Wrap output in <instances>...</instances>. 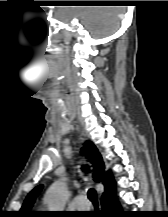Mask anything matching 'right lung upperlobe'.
Wrapping results in <instances>:
<instances>
[{"instance_id": "obj_1", "label": "right lung upper lobe", "mask_w": 168, "mask_h": 217, "mask_svg": "<svg viewBox=\"0 0 168 217\" xmlns=\"http://www.w3.org/2000/svg\"><path fill=\"white\" fill-rule=\"evenodd\" d=\"M82 153L86 155V158L90 160L93 165L94 171V181L102 182L105 187V192L103 194V198L112 194L116 191L115 182L113 176L108 171L105 173L104 162L101 157V154L98 152L97 148L92 142H86L84 147L82 148ZM42 185L35 187L26 197L23 206L20 210L21 217H36L38 213L35 211H30L36 196L41 191Z\"/></svg>"}]
</instances>
